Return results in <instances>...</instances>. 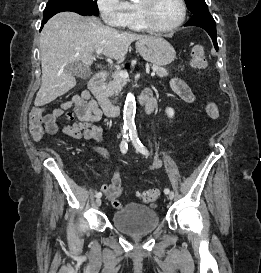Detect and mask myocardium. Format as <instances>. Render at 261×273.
<instances>
[{
	"label": "myocardium",
	"instance_id": "f54148a6",
	"mask_svg": "<svg viewBox=\"0 0 261 273\" xmlns=\"http://www.w3.org/2000/svg\"><path fill=\"white\" fill-rule=\"evenodd\" d=\"M180 7H181V17L180 19L170 27H159L153 20V7L156 3V0H139L138 2V9L142 18V21L146 28L150 31L157 32V33H168L175 31L179 28L186 19L187 16V6L184 0H178Z\"/></svg>",
	"mask_w": 261,
	"mask_h": 273
}]
</instances>
